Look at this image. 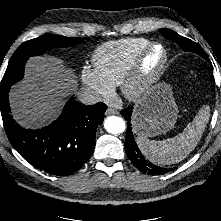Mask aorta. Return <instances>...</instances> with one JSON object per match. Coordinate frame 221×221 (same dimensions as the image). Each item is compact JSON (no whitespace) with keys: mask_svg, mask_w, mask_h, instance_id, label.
I'll return each instance as SVG.
<instances>
[{"mask_svg":"<svg viewBox=\"0 0 221 221\" xmlns=\"http://www.w3.org/2000/svg\"><path fill=\"white\" fill-rule=\"evenodd\" d=\"M104 127L111 134L123 133L126 129L124 120L119 116H109L104 121Z\"/></svg>","mask_w":221,"mask_h":221,"instance_id":"obj_1","label":"aorta"}]
</instances>
